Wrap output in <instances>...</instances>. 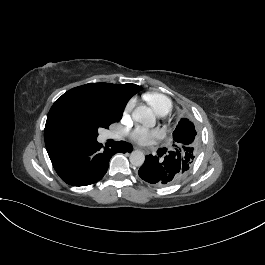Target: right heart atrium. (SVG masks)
<instances>
[{
  "label": "right heart atrium",
  "instance_id": "right-heart-atrium-1",
  "mask_svg": "<svg viewBox=\"0 0 265 265\" xmlns=\"http://www.w3.org/2000/svg\"><path fill=\"white\" fill-rule=\"evenodd\" d=\"M133 107H134V100H131L126 107V112H130L133 109Z\"/></svg>",
  "mask_w": 265,
  "mask_h": 265
}]
</instances>
